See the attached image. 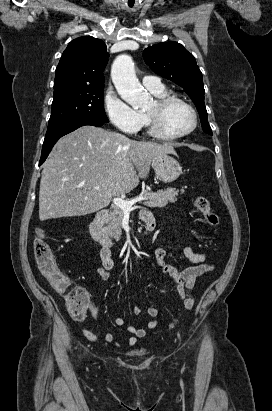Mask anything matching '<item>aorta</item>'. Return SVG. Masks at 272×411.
Returning <instances> with one entry per match:
<instances>
[{
	"label": "aorta",
	"instance_id": "1",
	"mask_svg": "<svg viewBox=\"0 0 272 411\" xmlns=\"http://www.w3.org/2000/svg\"><path fill=\"white\" fill-rule=\"evenodd\" d=\"M111 78L121 98L134 109L140 108L149 99L136 77L134 63L129 55L116 57L111 68Z\"/></svg>",
	"mask_w": 272,
	"mask_h": 411
}]
</instances>
